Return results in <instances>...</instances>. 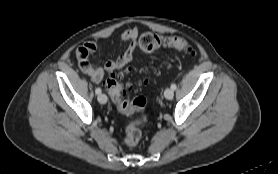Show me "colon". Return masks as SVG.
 <instances>
[{
	"label": "colon",
	"instance_id": "5ec220e1",
	"mask_svg": "<svg viewBox=\"0 0 278 174\" xmlns=\"http://www.w3.org/2000/svg\"><path fill=\"white\" fill-rule=\"evenodd\" d=\"M139 46L144 52L148 53L161 47H168L192 55L195 54L191 46L183 38L151 32L144 33L140 37ZM105 88L121 112L125 114H138V117L127 126L124 136L126 145L135 146L141 138L140 127L147 121L145 114L146 99L144 97H137L132 101L127 100L130 86L117 74H111L107 78Z\"/></svg>",
	"mask_w": 278,
	"mask_h": 174
}]
</instances>
